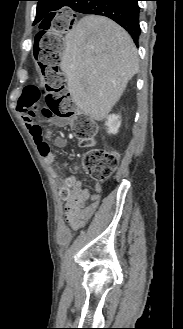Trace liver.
Segmentation results:
<instances>
[{"mask_svg": "<svg viewBox=\"0 0 183 329\" xmlns=\"http://www.w3.org/2000/svg\"><path fill=\"white\" fill-rule=\"evenodd\" d=\"M61 69L76 106L97 121L119 101L129 80L138 72L136 46L112 20L83 17L64 39Z\"/></svg>", "mask_w": 183, "mask_h": 329, "instance_id": "1", "label": "liver"}]
</instances>
